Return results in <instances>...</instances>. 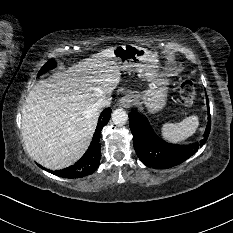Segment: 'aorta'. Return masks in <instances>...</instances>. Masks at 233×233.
I'll list each match as a JSON object with an SVG mask.
<instances>
[{
	"label": "aorta",
	"instance_id": "aorta-1",
	"mask_svg": "<svg viewBox=\"0 0 233 233\" xmlns=\"http://www.w3.org/2000/svg\"><path fill=\"white\" fill-rule=\"evenodd\" d=\"M128 120V115L123 109H117L112 113V121L115 125H124Z\"/></svg>",
	"mask_w": 233,
	"mask_h": 233
}]
</instances>
